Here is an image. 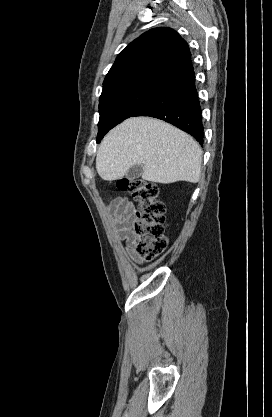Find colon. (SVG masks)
Instances as JSON below:
<instances>
[{
	"label": "colon",
	"mask_w": 272,
	"mask_h": 417,
	"mask_svg": "<svg viewBox=\"0 0 272 417\" xmlns=\"http://www.w3.org/2000/svg\"><path fill=\"white\" fill-rule=\"evenodd\" d=\"M122 191H129L137 203L131 231L135 248L146 261L160 255L167 246L165 235V204L159 199L158 186L141 178L122 179L117 183Z\"/></svg>",
	"instance_id": "colon-1"
}]
</instances>
